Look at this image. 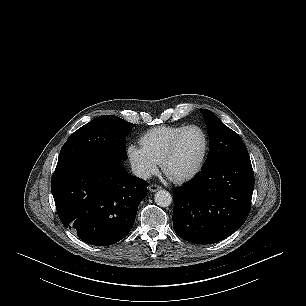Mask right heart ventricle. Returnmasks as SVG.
Segmentation results:
<instances>
[{
  "mask_svg": "<svg viewBox=\"0 0 306 306\" xmlns=\"http://www.w3.org/2000/svg\"><path fill=\"white\" fill-rule=\"evenodd\" d=\"M185 126H158L146 131L140 137L141 147L158 163H161L173 139Z\"/></svg>",
  "mask_w": 306,
  "mask_h": 306,
  "instance_id": "e07e8e85",
  "label": "right heart ventricle"
}]
</instances>
